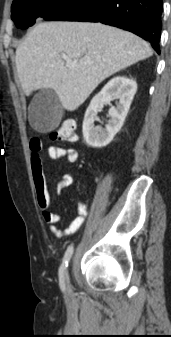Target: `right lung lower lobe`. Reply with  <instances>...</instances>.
Listing matches in <instances>:
<instances>
[{
    "mask_svg": "<svg viewBox=\"0 0 171 337\" xmlns=\"http://www.w3.org/2000/svg\"><path fill=\"white\" fill-rule=\"evenodd\" d=\"M162 0H68L45 20L101 22L131 31L160 54Z\"/></svg>",
    "mask_w": 171,
    "mask_h": 337,
    "instance_id": "right-lung-lower-lobe-1",
    "label": "right lung lower lobe"
}]
</instances>
